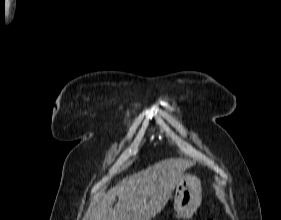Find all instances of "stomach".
Segmentation results:
<instances>
[{"label": "stomach", "mask_w": 281, "mask_h": 220, "mask_svg": "<svg viewBox=\"0 0 281 220\" xmlns=\"http://www.w3.org/2000/svg\"><path fill=\"white\" fill-rule=\"evenodd\" d=\"M201 182L191 174H185L177 182L174 209L180 218H190L201 204Z\"/></svg>", "instance_id": "1"}]
</instances>
